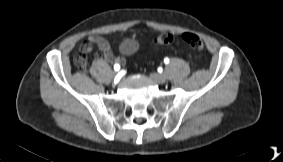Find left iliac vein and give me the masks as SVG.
<instances>
[{"label": "left iliac vein", "instance_id": "1", "mask_svg": "<svg viewBox=\"0 0 283 162\" xmlns=\"http://www.w3.org/2000/svg\"><path fill=\"white\" fill-rule=\"evenodd\" d=\"M150 77L152 78L153 81L159 84H164L166 82V76L163 74L151 73Z\"/></svg>", "mask_w": 283, "mask_h": 162}]
</instances>
